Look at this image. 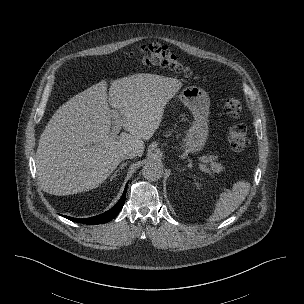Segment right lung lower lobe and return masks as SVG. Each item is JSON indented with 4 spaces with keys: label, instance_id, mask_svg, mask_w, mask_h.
I'll return each mask as SVG.
<instances>
[{
    "label": "right lung lower lobe",
    "instance_id": "1",
    "mask_svg": "<svg viewBox=\"0 0 304 304\" xmlns=\"http://www.w3.org/2000/svg\"><path fill=\"white\" fill-rule=\"evenodd\" d=\"M126 189H127V186L125 187L123 195H122L121 199L117 202V204L105 213H102V214L94 216V217L83 218V219H78V218H73V217H68V216H64V217L73 222L83 223V224L107 223V222L111 221L115 216H117L118 213L120 212V210L123 208V205L125 202V197H126Z\"/></svg>",
    "mask_w": 304,
    "mask_h": 304
}]
</instances>
